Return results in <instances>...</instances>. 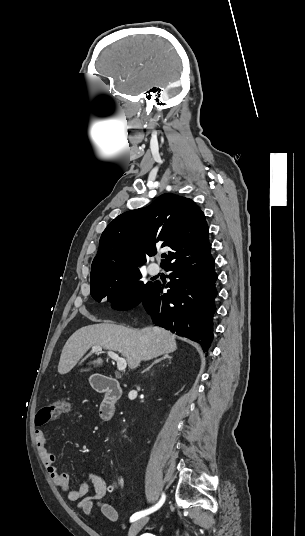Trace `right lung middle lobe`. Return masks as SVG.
Returning <instances> with one entry per match:
<instances>
[{
    "mask_svg": "<svg viewBox=\"0 0 305 536\" xmlns=\"http://www.w3.org/2000/svg\"><path fill=\"white\" fill-rule=\"evenodd\" d=\"M139 270L112 278L90 282L91 296L98 302L103 298L112 302L116 310H128L138 305L150 290L152 283L144 284Z\"/></svg>",
    "mask_w": 305,
    "mask_h": 536,
    "instance_id": "dd1d6c3e",
    "label": "right lung middle lobe"
}]
</instances>
